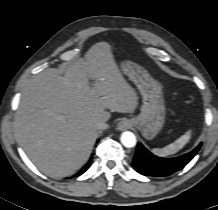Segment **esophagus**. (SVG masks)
Masks as SVG:
<instances>
[{"instance_id":"obj_1","label":"esophagus","mask_w":218,"mask_h":210,"mask_svg":"<svg viewBox=\"0 0 218 210\" xmlns=\"http://www.w3.org/2000/svg\"><path fill=\"white\" fill-rule=\"evenodd\" d=\"M130 127H131V122L126 118L121 119L117 124V129L121 131L129 129Z\"/></svg>"}]
</instances>
